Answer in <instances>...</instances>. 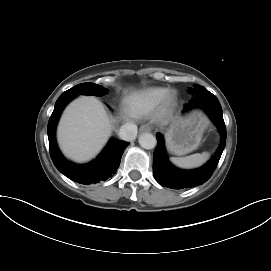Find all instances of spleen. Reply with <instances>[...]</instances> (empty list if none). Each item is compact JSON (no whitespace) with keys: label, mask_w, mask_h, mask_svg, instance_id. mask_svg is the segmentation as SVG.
<instances>
[{"label":"spleen","mask_w":271,"mask_h":271,"mask_svg":"<svg viewBox=\"0 0 271 271\" xmlns=\"http://www.w3.org/2000/svg\"><path fill=\"white\" fill-rule=\"evenodd\" d=\"M209 158L208 152L196 153L186 157H172L170 161L183 169L197 168L203 165Z\"/></svg>","instance_id":"1"}]
</instances>
